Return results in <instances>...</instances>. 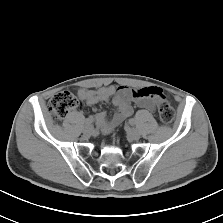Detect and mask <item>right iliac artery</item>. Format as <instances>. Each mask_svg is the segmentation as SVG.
<instances>
[{
    "instance_id": "1",
    "label": "right iliac artery",
    "mask_w": 223,
    "mask_h": 223,
    "mask_svg": "<svg viewBox=\"0 0 223 223\" xmlns=\"http://www.w3.org/2000/svg\"><path fill=\"white\" fill-rule=\"evenodd\" d=\"M93 121H94V120H93V118H91V117L88 118V119H86L84 126L86 127V126L91 125Z\"/></svg>"
}]
</instances>
